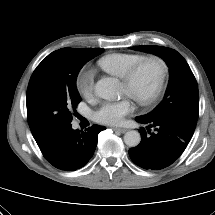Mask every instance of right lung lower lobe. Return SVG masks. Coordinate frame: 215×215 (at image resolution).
Returning <instances> with one entry per match:
<instances>
[{"label": "right lung lower lobe", "instance_id": "98d812e1", "mask_svg": "<svg viewBox=\"0 0 215 215\" xmlns=\"http://www.w3.org/2000/svg\"><path fill=\"white\" fill-rule=\"evenodd\" d=\"M104 126L93 125L85 131L73 130L69 125L39 148L56 168L74 171L83 167L94 154L98 134Z\"/></svg>", "mask_w": 215, "mask_h": 215}]
</instances>
